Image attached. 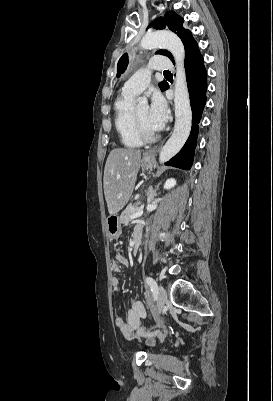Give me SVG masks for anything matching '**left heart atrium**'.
<instances>
[{
	"instance_id": "left-heart-atrium-1",
	"label": "left heart atrium",
	"mask_w": 273,
	"mask_h": 401,
	"mask_svg": "<svg viewBox=\"0 0 273 401\" xmlns=\"http://www.w3.org/2000/svg\"><path fill=\"white\" fill-rule=\"evenodd\" d=\"M168 118V108L164 99L159 96H153L148 107V121L154 130H160L164 127Z\"/></svg>"
}]
</instances>
